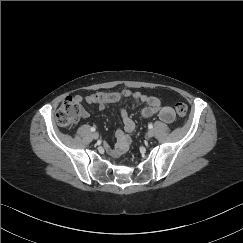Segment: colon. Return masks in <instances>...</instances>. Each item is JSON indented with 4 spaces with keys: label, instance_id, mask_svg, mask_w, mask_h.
<instances>
[{
    "label": "colon",
    "instance_id": "1",
    "mask_svg": "<svg viewBox=\"0 0 243 243\" xmlns=\"http://www.w3.org/2000/svg\"><path fill=\"white\" fill-rule=\"evenodd\" d=\"M106 101H118L124 97L121 92H112L106 94H98ZM81 100L75 97H67L61 103L59 109L56 112V121L62 127H69L75 124L81 115L80 109ZM175 110L179 116H185L188 111V107L185 103L179 102L175 105Z\"/></svg>",
    "mask_w": 243,
    "mask_h": 243
}]
</instances>
